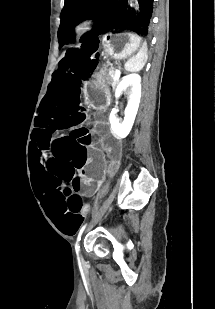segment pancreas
I'll use <instances>...</instances> for the list:
<instances>
[{"instance_id": "pancreas-1", "label": "pancreas", "mask_w": 215, "mask_h": 309, "mask_svg": "<svg viewBox=\"0 0 215 309\" xmlns=\"http://www.w3.org/2000/svg\"><path fill=\"white\" fill-rule=\"evenodd\" d=\"M115 76V72L114 70H111V72H109V78H107L109 84H111V86H116V84H118L119 80H115L114 78Z\"/></svg>"}]
</instances>
